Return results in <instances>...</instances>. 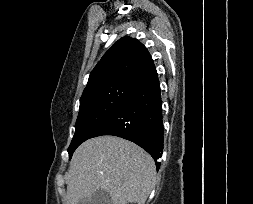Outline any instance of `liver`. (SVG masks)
I'll return each instance as SVG.
<instances>
[{
	"mask_svg": "<svg viewBox=\"0 0 253 204\" xmlns=\"http://www.w3.org/2000/svg\"><path fill=\"white\" fill-rule=\"evenodd\" d=\"M65 204L90 200L106 190L112 204H145L156 182L152 157L138 145L105 135L89 139L74 152L67 173Z\"/></svg>",
	"mask_w": 253,
	"mask_h": 204,
	"instance_id": "liver-1",
	"label": "liver"
}]
</instances>
